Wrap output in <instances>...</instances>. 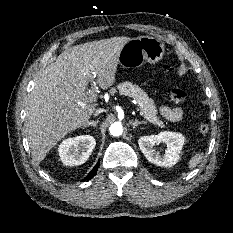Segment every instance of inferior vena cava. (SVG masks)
Instances as JSON below:
<instances>
[{
  "label": "inferior vena cava",
  "instance_id": "obj_1",
  "mask_svg": "<svg viewBox=\"0 0 233 233\" xmlns=\"http://www.w3.org/2000/svg\"><path fill=\"white\" fill-rule=\"evenodd\" d=\"M104 111H105V110L102 109V108L96 109L94 115L97 116L98 114H100V113H102V112H104Z\"/></svg>",
  "mask_w": 233,
  "mask_h": 233
}]
</instances>
